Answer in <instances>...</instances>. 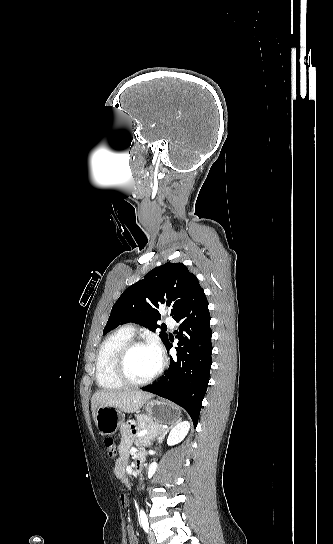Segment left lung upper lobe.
Wrapping results in <instances>:
<instances>
[{"instance_id":"obj_1","label":"left lung upper lobe","mask_w":333,"mask_h":544,"mask_svg":"<svg viewBox=\"0 0 333 544\" xmlns=\"http://www.w3.org/2000/svg\"><path fill=\"white\" fill-rule=\"evenodd\" d=\"M202 293L198 279L184 264L167 262L122 293L112 307L103 334L128 322L155 331L160 327L157 324L161 319L160 307L170 310L175 318ZM159 336L166 344L168 335L160 332Z\"/></svg>"}]
</instances>
